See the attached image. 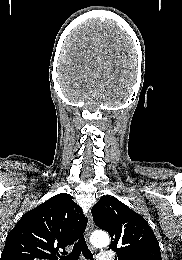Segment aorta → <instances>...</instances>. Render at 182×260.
I'll use <instances>...</instances> for the list:
<instances>
[{"label":"aorta","mask_w":182,"mask_h":260,"mask_svg":"<svg viewBox=\"0 0 182 260\" xmlns=\"http://www.w3.org/2000/svg\"><path fill=\"white\" fill-rule=\"evenodd\" d=\"M90 242L94 247H107L110 243L109 236L105 232H95L90 238Z\"/></svg>","instance_id":"762f6f07"}]
</instances>
